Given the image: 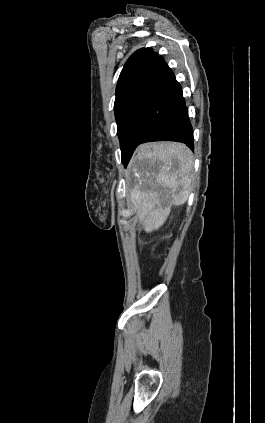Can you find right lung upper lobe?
I'll use <instances>...</instances> for the list:
<instances>
[{
  "label": "right lung upper lobe",
  "mask_w": 265,
  "mask_h": 423,
  "mask_svg": "<svg viewBox=\"0 0 265 423\" xmlns=\"http://www.w3.org/2000/svg\"><path fill=\"white\" fill-rule=\"evenodd\" d=\"M169 70L164 59L151 48L137 50L121 71L115 102L134 94H148Z\"/></svg>",
  "instance_id": "obj_1"
}]
</instances>
